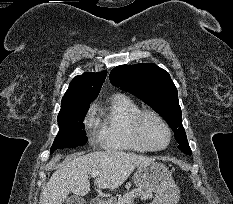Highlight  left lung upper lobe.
<instances>
[{"label":"left lung upper lobe","instance_id":"5c2ea615","mask_svg":"<svg viewBox=\"0 0 233 204\" xmlns=\"http://www.w3.org/2000/svg\"><path fill=\"white\" fill-rule=\"evenodd\" d=\"M109 78L112 84L137 96L161 114L174 131L178 148L191 154L182 126L177 89L164 69L151 63L121 65L111 71Z\"/></svg>","mask_w":233,"mask_h":204}]
</instances>
